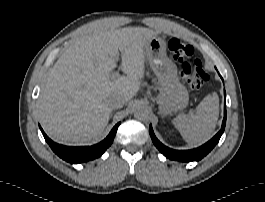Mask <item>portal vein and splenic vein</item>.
I'll use <instances>...</instances> for the list:
<instances>
[{
	"label": "portal vein and splenic vein",
	"instance_id": "obj_1",
	"mask_svg": "<svg viewBox=\"0 0 265 202\" xmlns=\"http://www.w3.org/2000/svg\"><path fill=\"white\" fill-rule=\"evenodd\" d=\"M119 72H114V73H112L111 75H110V77L112 78V79H115V78H117V77H119Z\"/></svg>",
	"mask_w": 265,
	"mask_h": 202
}]
</instances>
